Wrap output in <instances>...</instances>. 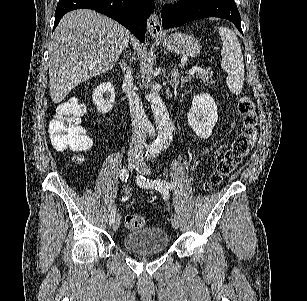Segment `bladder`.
I'll list each match as a JSON object with an SVG mask.
<instances>
[{
  "label": "bladder",
  "instance_id": "1",
  "mask_svg": "<svg viewBox=\"0 0 307 301\" xmlns=\"http://www.w3.org/2000/svg\"><path fill=\"white\" fill-rule=\"evenodd\" d=\"M121 243L129 251L155 253L167 250L169 240L165 230L148 227L129 233Z\"/></svg>",
  "mask_w": 307,
  "mask_h": 301
}]
</instances>
